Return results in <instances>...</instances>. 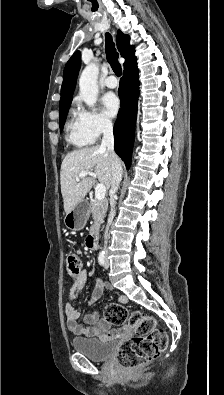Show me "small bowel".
<instances>
[{"mask_svg":"<svg viewBox=\"0 0 224 395\" xmlns=\"http://www.w3.org/2000/svg\"><path fill=\"white\" fill-rule=\"evenodd\" d=\"M87 277V273L82 271L73 279L70 289V299L64 306L67 328L73 334L85 337L111 336V324L104 318L100 319L98 313L86 315L83 318V322H80V313L75 308L73 300L77 297L79 291L87 281ZM102 289L103 283L98 280L89 304L96 302L101 297ZM120 300L126 302L127 298L122 295L120 296Z\"/></svg>","mask_w":224,"mask_h":395,"instance_id":"c3829d8e","label":"small bowel"}]
</instances>
